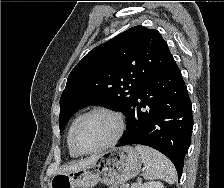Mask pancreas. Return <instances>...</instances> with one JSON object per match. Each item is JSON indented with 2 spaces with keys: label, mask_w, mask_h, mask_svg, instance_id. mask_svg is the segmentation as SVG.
Masks as SVG:
<instances>
[{
  "label": "pancreas",
  "mask_w": 224,
  "mask_h": 188,
  "mask_svg": "<svg viewBox=\"0 0 224 188\" xmlns=\"http://www.w3.org/2000/svg\"><path fill=\"white\" fill-rule=\"evenodd\" d=\"M111 188H115V187H111ZM120 188H127V185L126 184H121Z\"/></svg>",
  "instance_id": "1"
}]
</instances>
